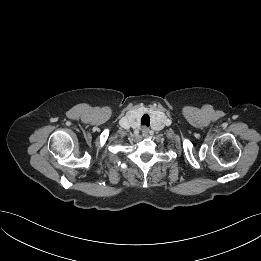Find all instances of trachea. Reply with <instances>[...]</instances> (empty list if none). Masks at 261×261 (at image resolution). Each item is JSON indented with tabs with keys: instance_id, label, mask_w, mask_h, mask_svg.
Segmentation results:
<instances>
[{
	"instance_id": "obj_1",
	"label": "trachea",
	"mask_w": 261,
	"mask_h": 261,
	"mask_svg": "<svg viewBox=\"0 0 261 261\" xmlns=\"http://www.w3.org/2000/svg\"><path fill=\"white\" fill-rule=\"evenodd\" d=\"M150 124V117L148 114H144L141 118V125L149 126Z\"/></svg>"
}]
</instances>
